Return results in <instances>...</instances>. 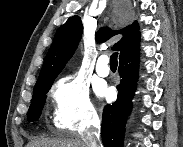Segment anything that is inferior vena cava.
Wrapping results in <instances>:
<instances>
[{
    "mask_svg": "<svg viewBox=\"0 0 183 147\" xmlns=\"http://www.w3.org/2000/svg\"><path fill=\"white\" fill-rule=\"evenodd\" d=\"M100 128L98 116H93L91 125L81 135L86 147H100Z\"/></svg>",
    "mask_w": 183,
    "mask_h": 147,
    "instance_id": "obj_1",
    "label": "inferior vena cava"
}]
</instances>
